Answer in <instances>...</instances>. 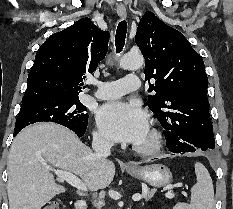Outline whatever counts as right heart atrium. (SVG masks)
I'll list each match as a JSON object with an SVG mask.
<instances>
[{"label": "right heart atrium", "instance_id": "obj_1", "mask_svg": "<svg viewBox=\"0 0 233 209\" xmlns=\"http://www.w3.org/2000/svg\"><path fill=\"white\" fill-rule=\"evenodd\" d=\"M94 142L98 145H104V146L111 145L110 140L107 139L102 133L98 131L94 133Z\"/></svg>", "mask_w": 233, "mask_h": 209}]
</instances>
